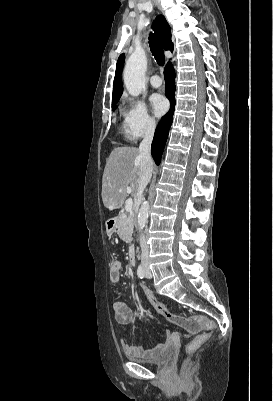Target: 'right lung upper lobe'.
<instances>
[{"mask_svg":"<svg viewBox=\"0 0 273 401\" xmlns=\"http://www.w3.org/2000/svg\"><path fill=\"white\" fill-rule=\"evenodd\" d=\"M153 28L155 29L156 33L160 37L163 48L165 50L173 51V44L171 42L170 26L168 25L164 16L160 15L155 20V22L153 24ZM124 60H125V55L121 54L118 58L117 65H116V73H115L114 85H113L112 107H114L115 103L119 100V98L122 94V91H123L121 72L123 69Z\"/></svg>","mask_w":273,"mask_h":401,"instance_id":"right-lung-upper-lobe-1","label":"right lung upper lobe"}]
</instances>
